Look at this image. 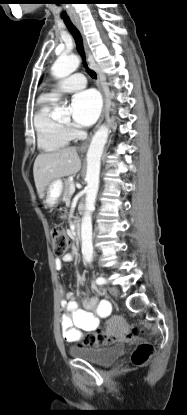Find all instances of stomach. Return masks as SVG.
<instances>
[{"instance_id":"obj_1","label":"stomach","mask_w":187,"mask_h":415,"mask_svg":"<svg viewBox=\"0 0 187 415\" xmlns=\"http://www.w3.org/2000/svg\"><path fill=\"white\" fill-rule=\"evenodd\" d=\"M63 191V182L61 179H55L51 181L45 191L42 198L44 208H54L60 201Z\"/></svg>"}]
</instances>
